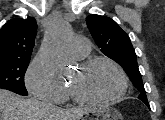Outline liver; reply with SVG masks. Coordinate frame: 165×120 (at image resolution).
<instances>
[{"label":"liver","instance_id":"6515ba94","mask_svg":"<svg viewBox=\"0 0 165 120\" xmlns=\"http://www.w3.org/2000/svg\"><path fill=\"white\" fill-rule=\"evenodd\" d=\"M89 108L61 109L0 89V120H80Z\"/></svg>","mask_w":165,"mask_h":120}]
</instances>
